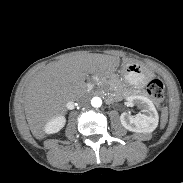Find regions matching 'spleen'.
I'll return each instance as SVG.
<instances>
[{"mask_svg":"<svg viewBox=\"0 0 183 183\" xmlns=\"http://www.w3.org/2000/svg\"><path fill=\"white\" fill-rule=\"evenodd\" d=\"M168 119V112L166 109L163 110L162 112V121H161V128L163 129L167 123Z\"/></svg>","mask_w":183,"mask_h":183,"instance_id":"3e777b00","label":"spleen"}]
</instances>
